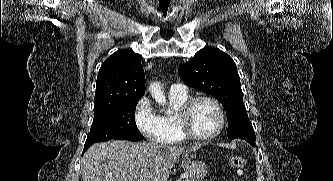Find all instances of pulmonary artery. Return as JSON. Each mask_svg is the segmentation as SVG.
I'll return each mask as SVG.
<instances>
[{
    "label": "pulmonary artery",
    "instance_id": "1",
    "mask_svg": "<svg viewBox=\"0 0 333 181\" xmlns=\"http://www.w3.org/2000/svg\"><path fill=\"white\" fill-rule=\"evenodd\" d=\"M170 93H175V94L186 93V87L182 84H173L170 87Z\"/></svg>",
    "mask_w": 333,
    "mask_h": 181
}]
</instances>
